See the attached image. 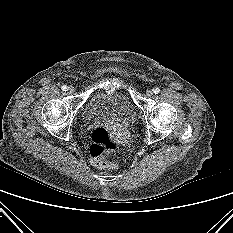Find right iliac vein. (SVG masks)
Returning a JSON list of instances; mask_svg holds the SVG:
<instances>
[{
    "instance_id": "63e3f726",
    "label": "right iliac vein",
    "mask_w": 233,
    "mask_h": 233,
    "mask_svg": "<svg viewBox=\"0 0 233 233\" xmlns=\"http://www.w3.org/2000/svg\"><path fill=\"white\" fill-rule=\"evenodd\" d=\"M74 91H75V89H74L73 86L68 87V92H69L70 94L74 93Z\"/></svg>"
}]
</instances>
